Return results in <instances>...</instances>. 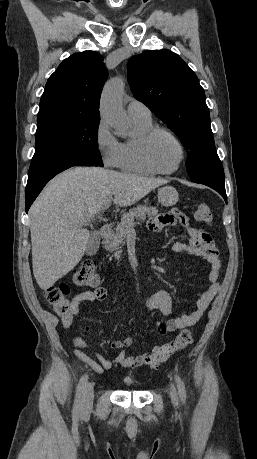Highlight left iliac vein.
Returning a JSON list of instances; mask_svg holds the SVG:
<instances>
[{
  "label": "left iliac vein",
  "instance_id": "left-iliac-vein-1",
  "mask_svg": "<svg viewBox=\"0 0 257 459\" xmlns=\"http://www.w3.org/2000/svg\"><path fill=\"white\" fill-rule=\"evenodd\" d=\"M170 398L174 405L178 404V394L174 385L170 387Z\"/></svg>",
  "mask_w": 257,
  "mask_h": 459
}]
</instances>
